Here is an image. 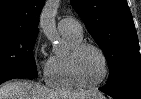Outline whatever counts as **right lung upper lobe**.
<instances>
[{"label": "right lung upper lobe", "instance_id": "1", "mask_svg": "<svg viewBox=\"0 0 141 99\" xmlns=\"http://www.w3.org/2000/svg\"><path fill=\"white\" fill-rule=\"evenodd\" d=\"M44 0H0V31L20 30L38 33Z\"/></svg>", "mask_w": 141, "mask_h": 99}]
</instances>
